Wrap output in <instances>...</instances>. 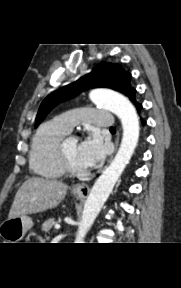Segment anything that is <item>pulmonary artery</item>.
Instances as JSON below:
<instances>
[{
	"instance_id": "e3ab8cb5",
	"label": "pulmonary artery",
	"mask_w": 181,
	"mask_h": 288,
	"mask_svg": "<svg viewBox=\"0 0 181 288\" xmlns=\"http://www.w3.org/2000/svg\"><path fill=\"white\" fill-rule=\"evenodd\" d=\"M55 120L68 132L78 123L111 128L113 122L112 114L109 111L89 107L64 112L58 115Z\"/></svg>"
}]
</instances>
